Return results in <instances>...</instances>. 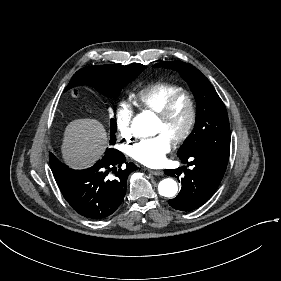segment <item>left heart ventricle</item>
Wrapping results in <instances>:
<instances>
[{
  "mask_svg": "<svg viewBox=\"0 0 281 281\" xmlns=\"http://www.w3.org/2000/svg\"><path fill=\"white\" fill-rule=\"evenodd\" d=\"M188 119V106L184 100L178 101L168 118L165 121H160L154 116L153 128L154 134H164L168 138L172 135L180 133L186 125Z\"/></svg>",
  "mask_w": 281,
  "mask_h": 281,
  "instance_id": "1",
  "label": "left heart ventricle"
}]
</instances>
